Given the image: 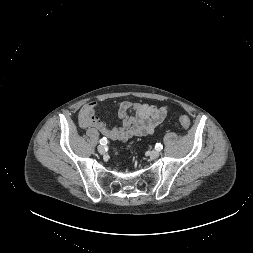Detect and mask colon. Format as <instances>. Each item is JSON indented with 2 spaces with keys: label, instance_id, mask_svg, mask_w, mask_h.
Returning <instances> with one entry per match:
<instances>
[{
  "label": "colon",
  "instance_id": "5ec220e1",
  "mask_svg": "<svg viewBox=\"0 0 253 253\" xmlns=\"http://www.w3.org/2000/svg\"><path fill=\"white\" fill-rule=\"evenodd\" d=\"M179 121L181 126L185 129L188 130L190 127V120L186 115H180L179 116Z\"/></svg>",
  "mask_w": 253,
  "mask_h": 253
}]
</instances>
